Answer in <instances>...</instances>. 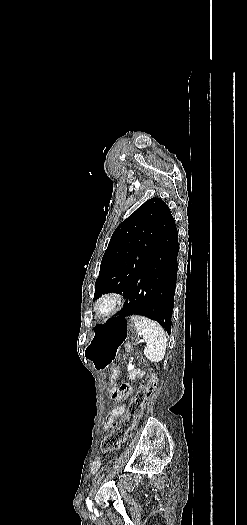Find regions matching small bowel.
Listing matches in <instances>:
<instances>
[{
  "instance_id": "small-bowel-1",
  "label": "small bowel",
  "mask_w": 247,
  "mask_h": 525,
  "mask_svg": "<svg viewBox=\"0 0 247 525\" xmlns=\"http://www.w3.org/2000/svg\"><path fill=\"white\" fill-rule=\"evenodd\" d=\"M114 376L115 374H113V378ZM128 376L130 379H144L145 372L141 369H134L129 373ZM125 412H126V406L124 404L117 405L107 416L106 421H105V428L106 429L111 428L113 424L115 423L116 419L122 417L125 414ZM100 467H101V460L100 458H96L92 464V471L95 473L100 469Z\"/></svg>"
}]
</instances>
